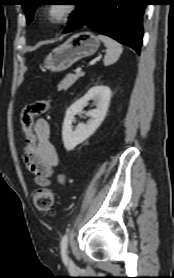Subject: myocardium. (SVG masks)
<instances>
[{"label":"myocardium","instance_id":"obj_1","mask_svg":"<svg viewBox=\"0 0 174 278\" xmlns=\"http://www.w3.org/2000/svg\"><path fill=\"white\" fill-rule=\"evenodd\" d=\"M59 6L62 11L58 16H53L50 10L53 7ZM77 11V5L66 3V4H47L42 7V16L50 24L60 25L68 21Z\"/></svg>","mask_w":174,"mask_h":278}]
</instances>
